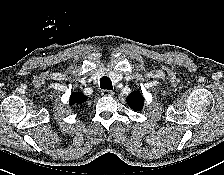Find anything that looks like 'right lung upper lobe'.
<instances>
[{
  "instance_id": "right-lung-upper-lobe-1",
  "label": "right lung upper lobe",
  "mask_w": 224,
  "mask_h": 175,
  "mask_svg": "<svg viewBox=\"0 0 224 175\" xmlns=\"http://www.w3.org/2000/svg\"><path fill=\"white\" fill-rule=\"evenodd\" d=\"M87 97L80 92H75L70 97V105H81L86 102Z\"/></svg>"
}]
</instances>
